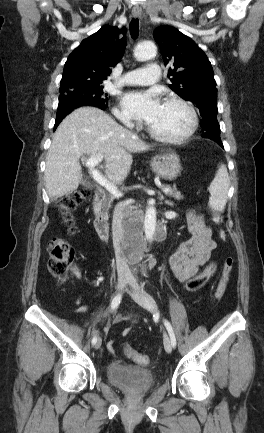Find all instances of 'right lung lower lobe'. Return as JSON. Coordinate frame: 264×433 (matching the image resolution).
<instances>
[{"label": "right lung lower lobe", "mask_w": 264, "mask_h": 433, "mask_svg": "<svg viewBox=\"0 0 264 433\" xmlns=\"http://www.w3.org/2000/svg\"><path fill=\"white\" fill-rule=\"evenodd\" d=\"M83 106H95V107H99V108H101V109H105V107H100V106H98V105H96V104H94V103H89V104H87V105H83ZM80 107H81V106H80ZM63 118H64V117H63ZM63 118H56L55 126H54V131L56 130L57 126L60 124V122L62 121Z\"/></svg>", "instance_id": "98d812e1"}]
</instances>
